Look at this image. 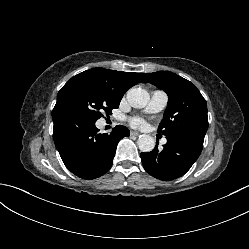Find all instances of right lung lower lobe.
Masks as SVG:
<instances>
[{
    "instance_id": "right-lung-lower-lobe-1",
    "label": "right lung lower lobe",
    "mask_w": 249,
    "mask_h": 249,
    "mask_svg": "<svg viewBox=\"0 0 249 249\" xmlns=\"http://www.w3.org/2000/svg\"><path fill=\"white\" fill-rule=\"evenodd\" d=\"M53 138L65 166L76 176L94 179L112 166L118 142L129 130L116 126L110 134H99L95 122L68 110L53 109Z\"/></svg>"
}]
</instances>
